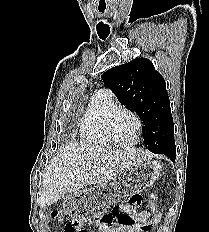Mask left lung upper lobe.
Masks as SVG:
<instances>
[{"instance_id":"left-lung-upper-lobe-1","label":"left lung upper lobe","mask_w":209,"mask_h":232,"mask_svg":"<svg viewBox=\"0 0 209 232\" xmlns=\"http://www.w3.org/2000/svg\"><path fill=\"white\" fill-rule=\"evenodd\" d=\"M104 84L118 101L135 111L143 121L144 142L148 150L174 160V124L165 80L146 58L107 70Z\"/></svg>"}]
</instances>
